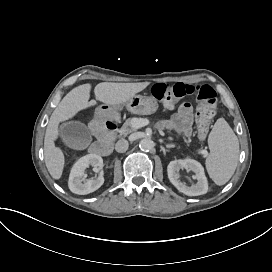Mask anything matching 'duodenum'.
<instances>
[{"mask_svg": "<svg viewBox=\"0 0 272 272\" xmlns=\"http://www.w3.org/2000/svg\"><path fill=\"white\" fill-rule=\"evenodd\" d=\"M91 130L97 140L91 145L90 152L101 156L108 155L112 150V140L117 130L115 122L105 118L103 111H98Z\"/></svg>", "mask_w": 272, "mask_h": 272, "instance_id": "duodenum-1", "label": "duodenum"}]
</instances>
